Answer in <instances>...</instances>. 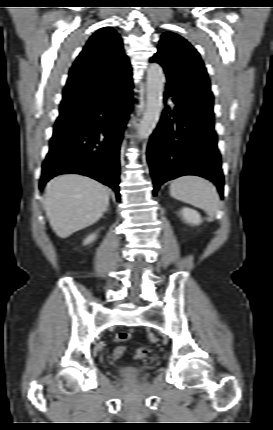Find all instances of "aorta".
I'll return each instance as SVG.
<instances>
[{"label": "aorta", "mask_w": 273, "mask_h": 430, "mask_svg": "<svg viewBox=\"0 0 273 430\" xmlns=\"http://www.w3.org/2000/svg\"><path fill=\"white\" fill-rule=\"evenodd\" d=\"M164 83L165 74L162 67L155 63L151 64L147 71L146 109L138 129L140 139L148 137L160 119Z\"/></svg>", "instance_id": "obj_1"}]
</instances>
